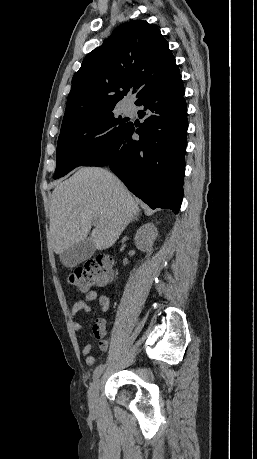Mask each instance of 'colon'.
<instances>
[{"mask_svg": "<svg viewBox=\"0 0 257 459\" xmlns=\"http://www.w3.org/2000/svg\"><path fill=\"white\" fill-rule=\"evenodd\" d=\"M111 259L108 257L87 261L83 266L77 267L69 275V282L78 291L86 292L93 286H101L111 279Z\"/></svg>", "mask_w": 257, "mask_h": 459, "instance_id": "1", "label": "colon"}]
</instances>
